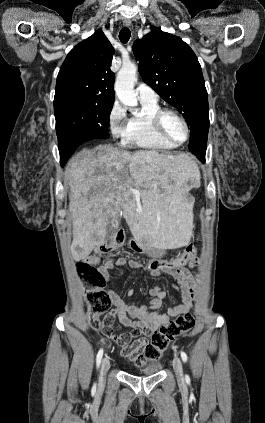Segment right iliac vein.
Returning a JSON list of instances; mask_svg holds the SVG:
<instances>
[{
	"label": "right iliac vein",
	"mask_w": 265,
	"mask_h": 423,
	"mask_svg": "<svg viewBox=\"0 0 265 423\" xmlns=\"http://www.w3.org/2000/svg\"><path fill=\"white\" fill-rule=\"evenodd\" d=\"M109 368H110V361L106 357L102 360V364H101V372H100L101 380L104 379V377L106 376Z\"/></svg>",
	"instance_id": "right-iliac-vein-1"
}]
</instances>
